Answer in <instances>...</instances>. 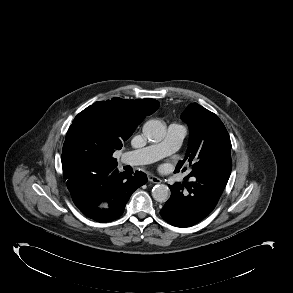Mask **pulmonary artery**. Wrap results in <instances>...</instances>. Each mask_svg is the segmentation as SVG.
<instances>
[{
	"label": "pulmonary artery",
	"mask_w": 293,
	"mask_h": 293,
	"mask_svg": "<svg viewBox=\"0 0 293 293\" xmlns=\"http://www.w3.org/2000/svg\"><path fill=\"white\" fill-rule=\"evenodd\" d=\"M186 135V128L180 124H170L164 140L139 150L130 151L123 155V163L131 166L156 162L175 153L181 146Z\"/></svg>",
	"instance_id": "obj_1"
}]
</instances>
